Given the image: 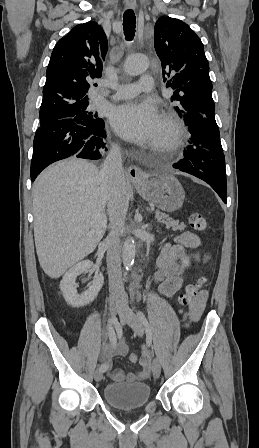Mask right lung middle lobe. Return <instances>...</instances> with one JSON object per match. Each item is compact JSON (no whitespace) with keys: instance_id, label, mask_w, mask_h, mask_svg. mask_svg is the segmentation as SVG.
<instances>
[{"instance_id":"dd1d6c3e","label":"right lung middle lobe","mask_w":259,"mask_h":448,"mask_svg":"<svg viewBox=\"0 0 259 448\" xmlns=\"http://www.w3.org/2000/svg\"><path fill=\"white\" fill-rule=\"evenodd\" d=\"M40 115V126L46 123L61 119L71 118L78 124L93 126L102 121L94 112H91L88 105L74 106L56 112L44 113Z\"/></svg>"}]
</instances>
